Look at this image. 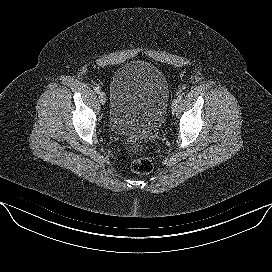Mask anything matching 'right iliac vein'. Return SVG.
Here are the masks:
<instances>
[{
	"mask_svg": "<svg viewBox=\"0 0 272 272\" xmlns=\"http://www.w3.org/2000/svg\"><path fill=\"white\" fill-rule=\"evenodd\" d=\"M99 101L102 105H104L106 103V96L104 92H100L99 93Z\"/></svg>",
	"mask_w": 272,
	"mask_h": 272,
	"instance_id": "obj_1",
	"label": "right iliac vein"
}]
</instances>
